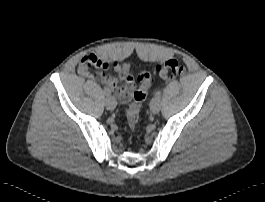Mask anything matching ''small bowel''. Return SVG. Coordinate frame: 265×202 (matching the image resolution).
<instances>
[{"instance_id": "small-bowel-1", "label": "small bowel", "mask_w": 265, "mask_h": 202, "mask_svg": "<svg viewBox=\"0 0 265 202\" xmlns=\"http://www.w3.org/2000/svg\"><path fill=\"white\" fill-rule=\"evenodd\" d=\"M99 68L102 72H93L92 68ZM112 70L116 76L108 75L105 71ZM77 72L92 81L106 86L110 93L115 94L122 103L131 100L135 90V79L128 64L111 62L95 53L83 56L79 62Z\"/></svg>"}]
</instances>
